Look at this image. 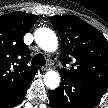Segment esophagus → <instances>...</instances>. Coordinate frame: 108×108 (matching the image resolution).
Returning <instances> with one entry per match:
<instances>
[{
	"instance_id": "34e87169",
	"label": "esophagus",
	"mask_w": 108,
	"mask_h": 108,
	"mask_svg": "<svg viewBox=\"0 0 108 108\" xmlns=\"http://www.w3.org/2000/svg\"><path fill=\"white\" fill-rule=\"evenodd\" d=\"M48 69H49L48 66H43V67H41V70H42V71H47Z\"/></svg>"
}]
</instances>
